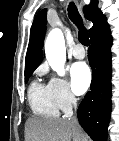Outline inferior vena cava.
<instances>
[{"label": "inferior vena cava", "mask_w": 119, "mask_h": 141, "mask_svg": "<svg viewBox=\"0 0 119 141\" xmlns=\"http://www.w3.org/2000/svg\"><path fill=\"white\" fill-rule=\"evenodd\" d=\"M71 101H72V104H73V106H74V108L76 110L77 103H76V98L73 95L71 96ZM71 122L74 123L76 126L79 127L78 119H77L76 116H74V117L71 118Z\"/></svg>", "instance_id": "obj_1"}]
</instances>
